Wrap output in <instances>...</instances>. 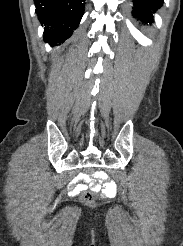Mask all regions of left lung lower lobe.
<instances>
[{"label": "left lung lower lobe", "instance_id": "obj_1", "mask_svg": "<svg viewBox=\"0 0 183 246\" xmlns=\"http://www.w3.org/2000/svg\"><path fill=\"white\" fill-rule=\"evenodd\" d=\"M163 4V0H135L133 15L137 16L144 23H152V13L156 12ZM153 10V12H152Z\"/></svg>", "mask_w": 183, "mask_h": 246}]
</instances>
